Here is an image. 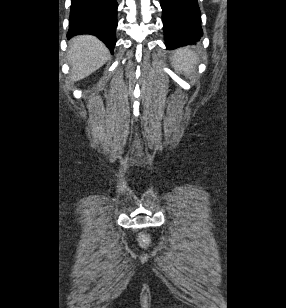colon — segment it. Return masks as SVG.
<instances>
[{"label":"colon","instance_id":"1","mask_svg":"<svg viewBox=\"0 0 286 308\" xmlns=\"http://www.w3.org/2000/svg\"><path fill=\"white\" fill-rule=\"evenodd\" d=\"M141 239H142V241H145V240H146V236H145V235H142V236H141Z\"/></svg>","mask_w":286,"mask_h":308}]
</instances>
